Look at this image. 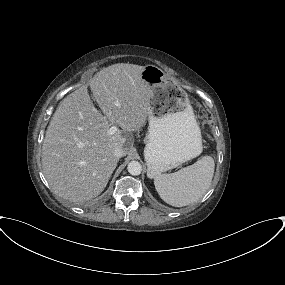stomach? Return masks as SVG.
Listing matches in <instances>:
<instances>
[{"label": "stomach", "instance_id": "1", "mask_svg": "<svg viewBox=\"0 0 285 285\" xmlns=\"http://www.w3.org/2000/svg\"><path fill=\"white\" fill-rule=\"evenodd\" d=\"M141 78L149 87V127L144 157L147 176L155 178L202 153V136L187 93L154 65Z\"/></svg>", "mask_w": 285, "mask_h": 285}]
</instances>
